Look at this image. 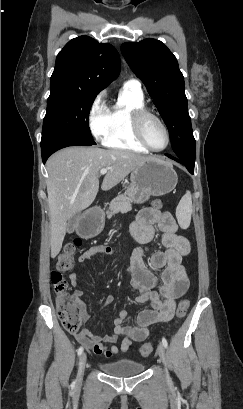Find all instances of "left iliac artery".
Returning a JSON list of instances; mask_svg holds the SVG:
<instances>
[{"label": "left iliac artery", "mask_w": 243, "mask_h": 409, "mask_svg": "<svg viewBox=\"0 0 243 409\" xmlns=\"http://www.w3.org/2000/svg\"><path fill=\"white\" fill-rule=\"evenodd\" d=\"M162 344H163V346H164L165 348H167L168 342H167V340H166L164 337L162 338Z\"/></svg>", "instance_id": "44dca946"}]
</instances>
